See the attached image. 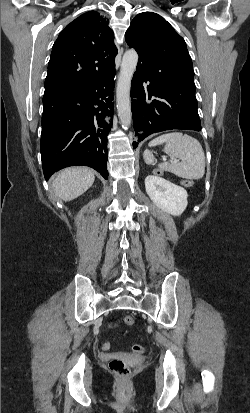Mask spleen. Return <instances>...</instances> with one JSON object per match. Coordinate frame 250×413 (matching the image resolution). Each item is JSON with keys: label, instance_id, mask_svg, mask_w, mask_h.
Returning a JSON list of instances; mask_svg holds the SVG:
<instances>
[{"label": "spleen", "instance_id": "obj_1", "mask_svg": "<svg viewBox=\"0 0 250 413\" xmlns=\"http://www.w3.org/2000/svg\"><path fill=\"white\" fill-rule=\"evenodd\" d=\"M165 143L164 152L177 162H164L159 164L160 170L168 171L185 179H201L205 174V155L200 142L187 134L171 132L153 139L149 146ZM144 161L152 164L155 161L151 151L145 150Z\"/></svg>", "mask_w": 250, "mask_h": 413}]
</instances>
